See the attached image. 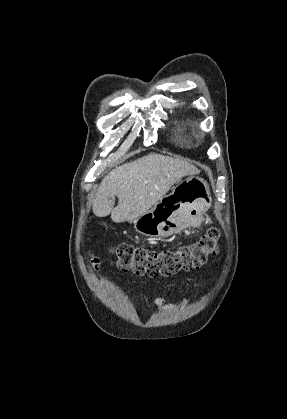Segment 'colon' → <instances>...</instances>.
I'll list each match as a JSON object with an SVG mask.
<instances>
[{
  "label": "colon",
  "instance_id": "colon-1",
  "mask_svg": "<svg viewBox=\"0 0 287 419\" xmlns=\"http://www.w3.org/2000/svg\"><path fill=\"white\" fill-rule=\"evenodd\" d=\"M219 231L210 228L196 242L176 250H148L129 244L114 248L117 266L123 271L150 277L172 276L180 271L200 268L209 256L218 252Z\"/></svg>",
  "mask_w": 287,
  "mask_h": 419
}]
</instances>
